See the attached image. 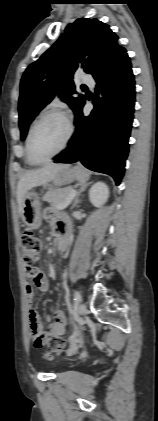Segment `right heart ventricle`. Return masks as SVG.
<instances>
[{"label": "right heart ventricle", "mask_w": 158, "mask_h": 421, "mask_svg": "<svg viewBox=\"0 0 158 421\" xmlns=\"http://www.w3.org/2000/svg\"><path fill=\"white\" fill-rule=\"evenodd\" d=\"M26 161H27V163L29 164V165H31V166H33V165H35L30 159H29V157H28V154H27V150H26Z\"/></svg>", "instance_id": "1"}]
</instances>
